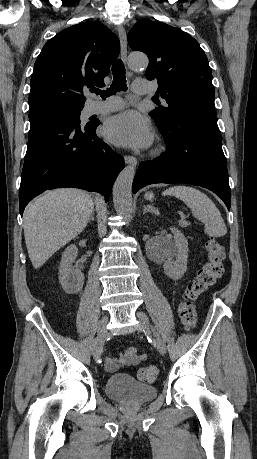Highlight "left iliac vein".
Instances as JSON below:
<instances>
[{
    "label": "left iliac vein",
    "instance_id": "obj_1",
    "mask_svg": "<svg viewBox=\"0 0 257 459\" xmlns=\"http://www.w3.org/2000/svg\"><path fill=\"white\" fill-rule=\"evenodd\" d=\"M136 317L140 321L137 325V330L139 332L150 333V322L148 316L143 312H137ZM155 346L160 354L164 355L166 353V345L164 341L157 336L155 337Z\"/></svg>",
    "mask_w": 257,
    "mask_h": 459
}]
</instances>
